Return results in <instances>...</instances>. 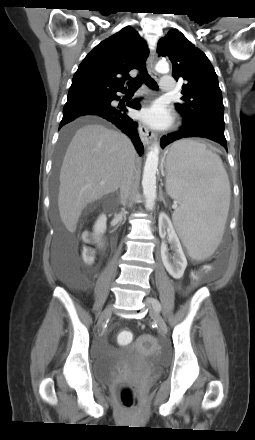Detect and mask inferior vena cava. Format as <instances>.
I'll use <instances>...</instances> for the list:
<instances>
[{"label":"inferior vena cava","mask_w":255,"mask_h":440,"mask_svg":"<svg viewBox=\"0 0 255 440\" xmlns=\"http://www.w3.org/2000/svg\"><path fill=\"white\" fill-rule=\"evenodd\" d=\"M134 161L130 159L127 163L124 177L120 184V202L123 206L127 204V200L133 191Z\"/></svg>","instance_id":"1"}]
</instances>
